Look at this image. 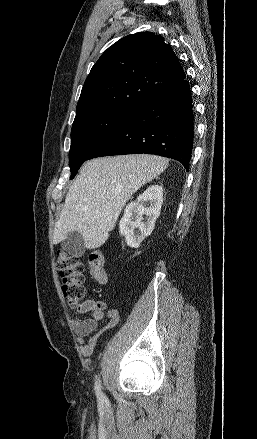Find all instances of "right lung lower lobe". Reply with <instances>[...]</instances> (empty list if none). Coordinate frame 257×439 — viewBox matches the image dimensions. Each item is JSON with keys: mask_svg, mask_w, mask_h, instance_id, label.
Here are the masks:
<instances>
[{"mask_svg": "<svg viewBox=\"0 0 257 439\" xmlns=\"http://www.w3.org/2000/svg\"><path fill=\"white\" fill-rule=\"evenodd\" d=\"M194 136L191 90L186 79L160 92L117 125L87 160L149 153L175 159L189 170Z\"/></svg>", "mask_w": 257, "mask_h": 439, "instance_id": "obj_1", "label": "right lung lower lobe"}]
</instances>
